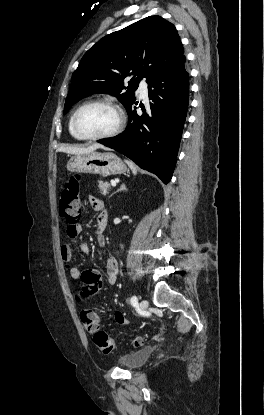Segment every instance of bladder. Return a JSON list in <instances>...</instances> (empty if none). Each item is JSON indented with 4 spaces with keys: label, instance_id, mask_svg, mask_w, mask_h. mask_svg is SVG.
I'll return each mask as SVG.
<instances>
[{
    "label": "bladder",
    "instance_id": "1",
    "mask_svg": "<svg viewBox=\"0 0 264 415\" xmlns=\"http://www.w3.org/2000/svg\"><path fill=\"white\" fill-rule=\"evenodd\" d=\"M154 349L152 346H145L137 351L124 355L118 363L126 369H136L144 365L152 356Z\"/></svg>",
    "mask_w": 264,
    "mask_h": 415
}]
</instances>
